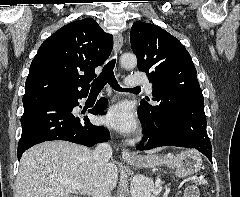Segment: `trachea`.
I'll list each match as a JSON object with an SVG mask.
<instances>
[{"label":"trachea","mask_w":240,"mask_h":197,"mask_svg":"<svg viewBox=\"0 0 240 197\" xmlns=\"http://www.w3.org/2000/svg\"><path fill=\"white\" fill-rule=\"evenodd\" d=\"M115 62L116 60L112 59L104 66L102 73L93 81L90 94H98L106 83H108L116 91L131 90L129 88H122L119 86L113 71Z\"/></svg>","instance_id":"trachea-1"}]
</instances>
